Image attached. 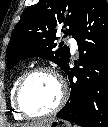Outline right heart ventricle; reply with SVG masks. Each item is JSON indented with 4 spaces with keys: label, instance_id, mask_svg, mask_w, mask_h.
<instances>
[{
    "label": "right heart ventricle",
    "instance_id": "right-heart-ventricle-1",
    "mask_svg": "<svg viewBox=\"0 0 108 127\" xmlns=\"http://www.w3.org/2000/svg\"><path fill=\"white\" fill-rule=\"evenodd\" d=\"M22 75H23L22 73H19L18 75H16V77L14 78V80L12 82L11 88H10V102H11V106H12V108L14 110V115L17 118H22L23 116L15 108V105H14V93H15L17 84H18L20 78L22 77Z\"/></svg>",
    "mask_w": 108,
    "mask_h": 127
}]
</instances>
